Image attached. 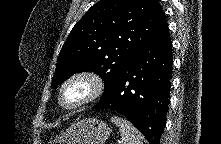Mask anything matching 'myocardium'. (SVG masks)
<instances>
[{"label": "myocardium", "mask_w": 221, "mask_h": 144, "mask_svg": "<svg viewBox=\"0 0 221 144\" xmlns=\"http://www.w3.org/2000/svg\"><path fill=\"white\" fill-rule=\"evenodd\" d=\"M76 82H85L88 85V92L79 101L66 105L63 102L64 92L70 85ZM104 88V80L98 73L91 70L78 71L63 81L58 91L57 102L63 110H75L97 100L102 95Z\"/></svg>", "instance_id": "myocardium-1"}]
</instances>
